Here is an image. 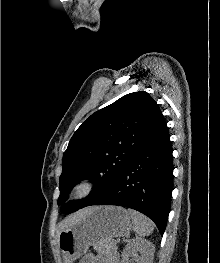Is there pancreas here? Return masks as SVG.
<instances>
[{
  "mask_svg": "<svg viewBox=\"0 0 220 263\" xmlns=\"http://www.w3.org/2000/svg\"><path fill=\"white\" fill-rule=\"evenodd\" d=\"M114 249H116L115 243H114V242H110V243L103 244V245L100 247L99 251H100L101 253H103V254H107V253H109L111 250H114Z\"/></svg>",
  "mask_w": 220,
  "mask_h": 263,
  "instance_id": "pancreas-1",
  "label": "pancreas"
}]
</instances>
